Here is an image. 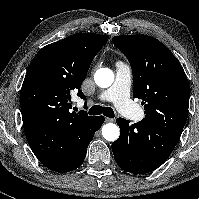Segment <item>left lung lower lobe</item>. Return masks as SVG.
<instances>
[{
	"mask_svg": "<svg viewBox=\"0 0 199 199\" xmlns=\"http://www.w3.org/2000/svg\"><path fill=\"white\" fill-rule=\"evenodd\" d=\"M120 137L112 143L116 163L123 170L145 174L160 167L172 153L181 133L143 119L130 124L118 118Z\"/></svg>",
	"mask_w": 199,
	"mask_h": 199,
	"instance_id": "left-lung-lower-lobe-1",
	"label": "left lung lower lobe"
}]
</instances>
